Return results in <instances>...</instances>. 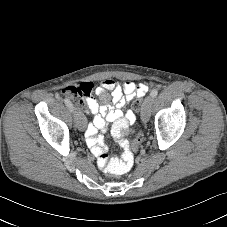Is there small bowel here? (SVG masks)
<instances>
[{
  "mask_svg": "<svg viewBox=\"0 0 227 227\" xmlns=\"http://www.w3.org/2000/svg\"><path fill=\"white\" fill-rule=\"evenodd\" d=\"M73 88L79 92L73 97L93 115V121L86 127L85 138L92 154L97 158L102 153H108L103 136L108 124L113 123L112 136L116 139L121 138L136 120L132 110L124 113L123 108L129 101L144 96L148 91L145 84L137 85L132 81L120 84L111 78L103 79L95 89L97 99L91 95L93 84L90 82H84L79 86H73ZM99 131L102 134L97 135ZM120 144L123 149L128 145L125 142Z\"/></svg>",
  "mask_w": 227,
  "mask_h": 227,
  "instance_id": "1",
  "label": "small bowel"
}]
</instances>
